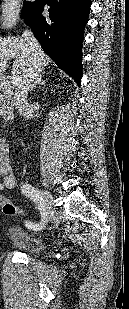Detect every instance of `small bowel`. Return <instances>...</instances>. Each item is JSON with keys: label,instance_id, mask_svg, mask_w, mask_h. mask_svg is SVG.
<instances>
[{"label": "small bowel", "instance_id": "small-bowel-1", "mask_svg": "<svg viewBox=\"0 0 129 309\" xmlns=\"http://www.w3.org/2000/svg\"><path fill=\"white\" fill-rule=\"evenodd\" d=\"M0 175L3 176V181L0 182V190L9 189L15 186V177L12 173L8 159L4 151V143L0 140ZM2 200V196H0Z\"/></svg>", "mask_w": 129, "mask_h": 309}]
</instances>
